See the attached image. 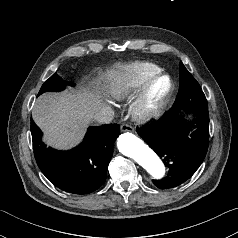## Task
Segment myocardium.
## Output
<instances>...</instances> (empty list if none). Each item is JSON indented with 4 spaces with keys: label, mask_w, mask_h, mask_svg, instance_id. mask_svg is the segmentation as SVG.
<instances>
[{
    "label": "myocardium",
    "mask_w": 238,
    "mask_h": 238,
    "mask_svg": "<svg viewBox=\"0 0 238 238\" xmlns=\"http://www.w3.org/2000/svg\"><path fill=\"white\" fill-rule=\"evenodd\" d=\"M160 81L165 82V88L160 95L153 97V89ZM173 90V83L166 74L158 73L149 78L134 96L130 106L132 118L144 123L158 116L167 104Z\"/></svg>",
    "instance_id": "1"
}]
</instances>
